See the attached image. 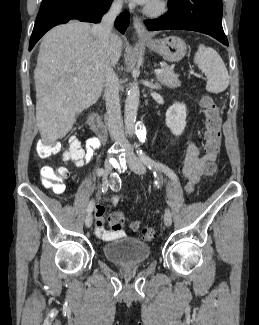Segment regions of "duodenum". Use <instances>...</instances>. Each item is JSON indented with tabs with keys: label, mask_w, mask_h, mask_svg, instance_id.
<instances>
[{
	"label": "duodenum",
	"mask_w": 259,
	"mask_h": 325,
	"mask_svg": "<svg viewBox=\"0 0 259 325\" xmlns=\"http://www.w3.org/2000/svg\"><path fill=\"white\" fill-rule=\"evenodd\" d=\"M88 123L96 137L104 141L107 137V130L101 116L96 112L90 113L88 116Z\"/></svg>",
	"instance_id": "duodenum-1"
}]
</instances>
